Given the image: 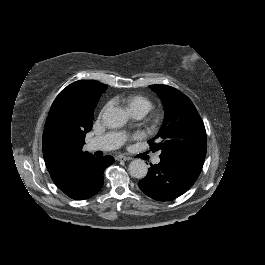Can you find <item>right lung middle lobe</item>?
<instances>
[{
  "label": "right lung middle lobe",
  "instance_id": "dd1d6c3e",
  "mask_svg": "<svg viewBox=\"0 0 265 265\" xmlns=\"http://www.w3.org/2000/svg\"><path fill=\"white\" fill-rule=\"evenodd\" d=\"M100 99V95L92 98L82 109V115L89 121L90 124L93 122V111Z\"/></svg>",
  "mask_w": 265,
  "mask_h": 265
}]
</instances>
